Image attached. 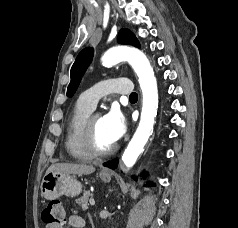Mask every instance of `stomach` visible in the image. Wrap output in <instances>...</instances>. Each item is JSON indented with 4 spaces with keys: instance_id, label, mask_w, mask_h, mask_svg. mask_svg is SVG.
Returning a JSON list of instances; mask_svg holds the SVG:
<instances>
[{
    "instance_id": "stomach-1",
    "label": "stomach",
    "mask_w": 238,
    "mask_h": 228,
    "mask_svg": "<svg viewBox=\"0 0 238 228\" xmlns=\"http://www.w3.org/2000/svg\"><path fill=\"white\" fill-rule=\"evenodd\" d=\"M99 177L104 182L111 180V174L109 172H100ZM40 189L41 195L45 199L52 200L61 195L71 197L79 195L82 192V184L70 174L48 172L42 179Z\"/></svg>"
}]
</instances>
